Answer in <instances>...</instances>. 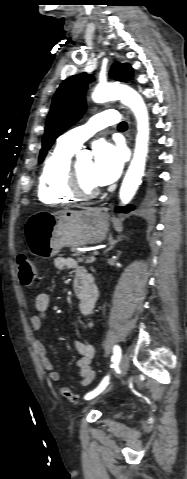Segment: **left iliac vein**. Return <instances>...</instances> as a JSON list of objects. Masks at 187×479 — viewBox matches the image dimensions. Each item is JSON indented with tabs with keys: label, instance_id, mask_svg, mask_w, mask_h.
Wrapping results in <instances>:
<instances>
[{
	"label": "left iliac vein",
	"instance_id": "4c4485c4",
	"mask_svg": "<svg viewBox=\"0 0 187 479\" xmlns=\"http://www.w3.org/2000/svg\"><path fill=\"white\" fill-rule=\"evenodd\" d=\"M128 367H129V357L126 353H124L122 356H121V360H120V371H121V374L120 376H123L127 370H128ZM112 388V385H109L102 393V395L108 393ZM97 399L95 400H92L89 404L92 405L96 402Z\"/></svg>",
	"mask_w": 187,
	"mask_h": 479
}]
</instances>
